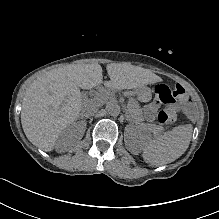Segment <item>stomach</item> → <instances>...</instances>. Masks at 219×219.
<instances>
[{"label":"stomach","mask_w":219,"mask_h":219,"mask_svg":"<svg viewBox=\"0 0 219 219\" xmlns=\"http://www.w3.org/2000/svg\"><path fill=\"white\" fill-rule=\"evenodd\" d=\"M136 95L139 99L147 101L150 99V90L147 87H140L136 91Z\"/></svg>","instance_id":"0dacf381"}]
</instances>
